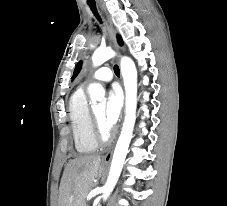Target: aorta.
<instances>
[{"mask_svg":"<svg viewBox=\"0 0 227 206\" xmlns=\"http://www.w3.org/2000/svg\"><path fill=\"white\" fill-rule=\"evenodd\" d=\"M116 53L111 48L96 49L92 56L93 66L98 67L113 58ZM120 69L125 88V118L118 142L113 154L109 175L104 186L103 201H106L112 193L121 174L123 164L128 153V147L133 136L136 121L137 108V70L134 61L126 56L120 59ZM91 101H99L104 98L105 90L102 85L92 83L88 87Z\"/></svg>","mask_w":227,"mask_h":206,"instance_id":"762f6f07","label":"aorta"}]
</instances>
